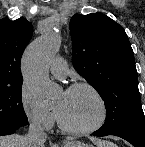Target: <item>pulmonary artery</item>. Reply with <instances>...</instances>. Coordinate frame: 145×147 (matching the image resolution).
Here are the masks:
<instances>
[{"mask_svg": "<svg viewBox=\"0 0 145 147\" xmlns=\"http://www.w3.org/2000/svg\"><path fill=\"white\" fill-rule=\"evenodd\" d=\"M50 71L56 77H65L68 71L67 62L62 57H55L50 64Z\"/></svg>", "mask_w": 145, "mask_h": 147, "instance_id": "obj_1", "label": "pulmonary artery"}]
</instances>
